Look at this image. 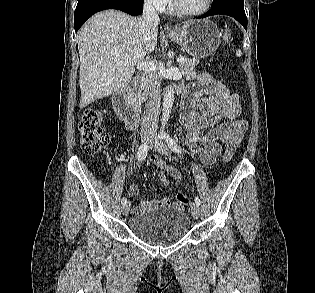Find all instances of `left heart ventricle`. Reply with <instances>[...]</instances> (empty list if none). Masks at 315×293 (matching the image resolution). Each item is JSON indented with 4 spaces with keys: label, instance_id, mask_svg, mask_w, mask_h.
<instances>
[{
    "label": "left heart ventricle",
    "instance_id": "obj_1",
    "mask_svg": "<svg viewBox=\"0 0 315 293\" xmlns=\"http://www.w3.org/2000/svg\"><path fill=\"white\" fill-rule=\"evenodd\" d=\"M180 5L186 10H199L204 5L206 0H178Z\"/></svg>",
    "mask_w": 315,
    "mask_h": 293
}]
</instances>
